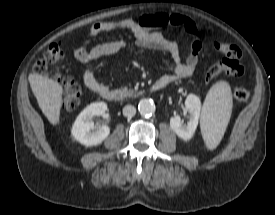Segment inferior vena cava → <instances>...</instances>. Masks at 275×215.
Instances as JSON below:
<instances>
[{
  "instance_id": "inferior-vena-cava-1",
  "label": "inferior vena cava",
  "mask_w": 275,
  "mask_h": 215,
  "mask_svg": "<svg viewBox=\"0 0 275 215\" xmlns=\"http://www.w3.org/2000/svg\"><path fill=\"white\" fill-rule=\"evenodd\" d=\"M135 113H136V108L132 105H126L123 108V115L126 117H132L135 115Z\"/></svg>"
}]
</instances>
